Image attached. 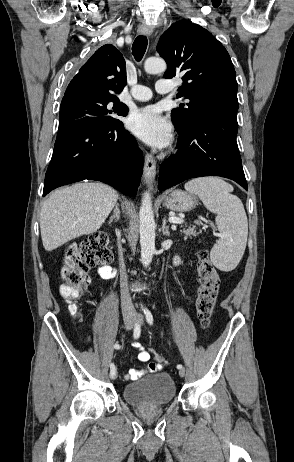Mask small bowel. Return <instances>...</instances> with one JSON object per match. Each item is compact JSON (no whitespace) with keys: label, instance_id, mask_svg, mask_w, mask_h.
<instances>
[{"label":"small bowel","instance_id":"small-bowel-1","mask_svg":"<svg viewBox=\"0 0 294 462\" xmlns=\"http://www.w3.org/2000/svg\"><path fill=\"white\" fill-rule=\"evenodd\" d=\"M180 264V258L176 256L174 258V265L178 266ZM98 275L105 280L111 279L116 275L114 268L108 265L101 266L98 269ZM176 280V277H174ZM133 347L138 350V359L142 362H148L150 360V352L146 350L139 342H134ZM164 363L160 360H155L148 363L147 367L143 370H129L125 377L129 380H136L146 373H154L160 371L163 368Z\"/></svg>","mask_w":294,"mask_h":462}]
</instances>
